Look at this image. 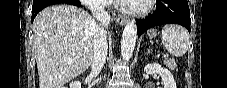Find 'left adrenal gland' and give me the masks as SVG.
Here are the masks:
<instances>
[{
	"mask_svg": "<svg viewBox=\"0 0 227 88\" xmlns=\"http://www.w3.org/2000/svg\"><path fill=\"white\" fill-rule=\"evenodd\" d=\"M150 53H151V51H150V49H148L147 55L150 54Z\"/></svg>",
	"mask_w": 227,
	"mask_h": 88,
	"instance_id": "a2214340",
	"label": "left adrenal gland"
}]
</instances>
